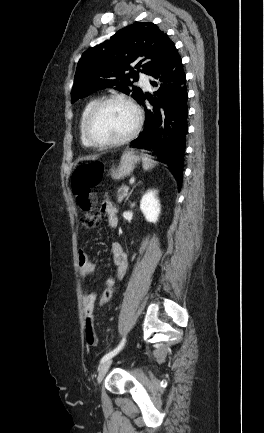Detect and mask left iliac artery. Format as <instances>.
<instances>
[{
    "label": "left iliac artery",
    "instance_id": "1",
    "mask_svg": "<svg viewBox=\"0 0 264 433\" xmlns=\"http://www.w3.org/2000/svg\"><path fill=\"white\" fill-rule=\"evenodd\" d=\"M125 341H126V339H125V337L122 339V341L120 342V344L114 349V350H112L111 352H109V353H107L106 355H104L103 357H102V359H101V361H100V363H103V362H105L106 360H108V359H110V358H112L114 355H116L122 348H123V346H124V344H125Z\"/></svg>",
    "mask_w": 264,
    "mask_h": 433
}]
</instances>
